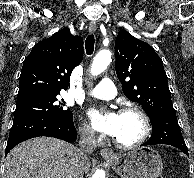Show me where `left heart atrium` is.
<instances>
[{"mask_svg": "<svg viewBox=\"0 0 194 178\" xmlns=\"http://www.w3.org/2000/svg\"><path fill=\"white\" fill-rule=\"evenodd\" d=\"M88 116L93 127L105 134L114 136L118 129L119 114L115 112H104L100 110H90Z\"/></svg>", "mask_w": 194, "mask_h": 178, "instance_id": "left-heart-atrium-1", "label": "left heart atrium"}]
</instances>
